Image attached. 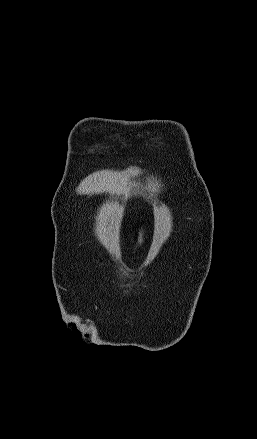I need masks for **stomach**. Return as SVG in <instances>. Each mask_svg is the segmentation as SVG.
I'll return each mask as SVG.
<instances>
[{"label": "stomach", "instance_id": "obj_1", "mask_svg": "<svg viewBox=\"0 0 257 439\" xmlns=\"http://www.w3.org/2000/svg\"><path fill=\"white\" fill-rule=\"evenodd\" d=\"M139 242L140 243L142 242V233H140V240H139Z\"/></svg>", "mask_w": 257, "mask_h": 439}]
</instances>
